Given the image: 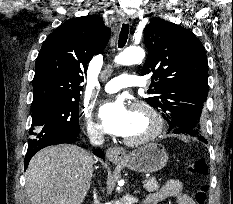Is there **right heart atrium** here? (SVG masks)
Returning <instances> with one entry per match:
<instances>
[{"label": "right heart atrium", "mask_w": 233, "mask_h": 204, "mask_svg": "<svg viewBox=\"0 0 233 204\" xmlns=\"http://www.w3.org/2000/svg\"><path fill=\"white\" fill-rule=\"evenodd\" d=\"M83 127L87 137L93 141L98 142L103 139V132L93 123L87 114L83 115Z\"/></svg>", "instance_id": "right-heart-atrium-1"}]
</instances>
